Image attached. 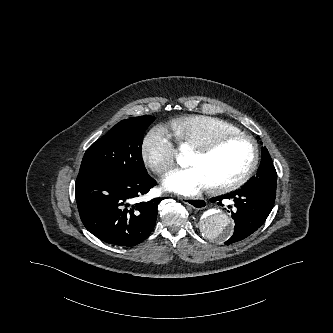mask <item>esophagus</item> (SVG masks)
Instances as JSON below:
<instances>
[{"label":"esophagus","instance_id":"1","mask_svg":"<svg viewBox=\"0 0 333 333\" xmlns=\"http://www.w3.org/2000/svg\"><path fill=\"white\" fill-rule=\"evenodd\" d=\"M181 201L195 209H203L206 207V201L202 198L181 197Z\"/></svg>","mask_w":333,"mask_h":333}]
</instances>
